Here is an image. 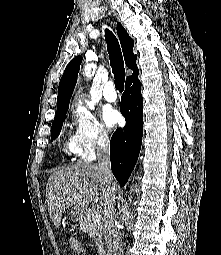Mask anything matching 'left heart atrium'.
Segmentation results:
<instances>
[{
    "label": "left heart atrium",
    "instance_id": "1",
    "mask_svg": "<svg viewBox=\"0 0 221 255\" xmlns=\"http://www.w3.org/2000/svg\"><path fill=\"white\" fill-rule=\"evenodd\" d=\"M102 119L109 128L114 127L120 121V114L111 106H105L102 110Z\"/></svg>",
    "mask_w": 221,
    "mask_h": 255
}]
</instances>
